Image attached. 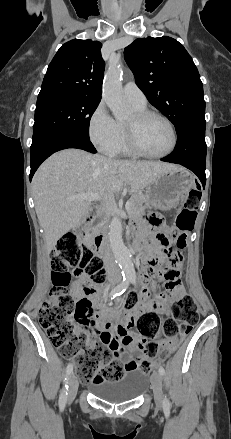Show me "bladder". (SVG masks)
<instances>
[{"label":"bladder","instance_id":"31cf9c89","mask_svg":"<svg viewBox=\"0 0 231 439\" xmlns=\"http://www.w3.org/2000/svg\"><path fill=\"white\" fill-rule=\"evenodd\" d=\"M150 376L139 368L128 369L117 381L90 386V392L102 400L120 403L137 399L148 388Z\"/></svg>","mask_w":231,"mask_h":439}]
</instances>
